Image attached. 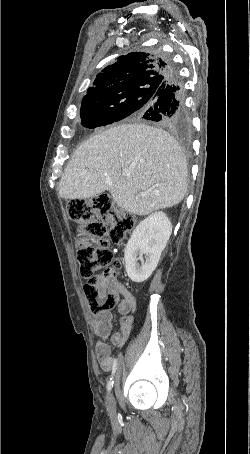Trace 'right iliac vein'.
Segmentation results:
<instances>
[{
	"instance_id": "1",
	"label": "right iliac vein",
	"mask_w": 250,
	"mask_h": 454,
	"mask_svg": "<svg viewBox=\"0 0 250 454\" xmlns=\"http://www.w3.org/2000/svg\"><path fill=\"white\" fill-rule=\"evenodd\" d=\"M107 403H108V406L111 410H114L115 408V401H114V398L112 395H109L108 396V399H107Z\"/></svg>"
}]
</instances>
